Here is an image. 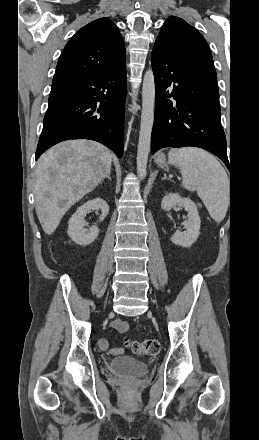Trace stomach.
Masks as SVG:
<instances>
[{
	"label": "stomach",
	"mask_w": 259,
	"mask_h": 440,
	"mask_svg": "<svg viewBox=\"0 0 259 440\" xmlns=\"http://www.w3.org/2000/svg\"><path fill=\"white\" fill-rule=\"evenodd\" d=\"M155 162L159 165V166H161V167H164V166H167V162H166V157H165V155L163 154V153H159L156 157H155Z\"/></svg>",
	"instance_id": "obj_1"
}]
</instances>
